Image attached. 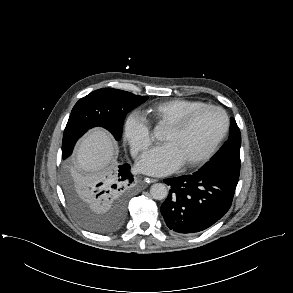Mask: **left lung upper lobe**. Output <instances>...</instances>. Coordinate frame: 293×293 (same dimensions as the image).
Instances as JSON below:
<instances>
[{"label":"left lung upper lobe","instance_id":"1","mask_svg":"<svg viewBox=\"0 0 293 293\" xmlns=\"http://www.w3.org/2000/svg\"><path fill=\"white\" fill-rule=\"evenodd\" d=\"M241 134L235 119L231 118L230 136L221 149L200 170L222 172L238 180L240 174Z\"/></svg>","mask_w":293,"mask_h":293}]
</instances>
